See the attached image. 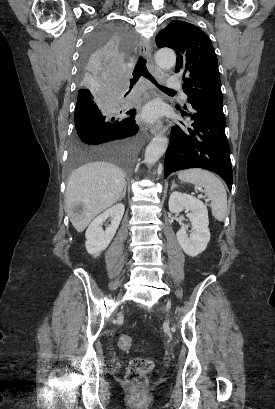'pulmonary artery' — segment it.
<instances>
[{
	"label": "pulmonary artery",
	"mask_w": 275,
	"mask_h": 409,
	"mask_svg": "<svg viewBox=\"0 0 275 409\" xmlns=\"http://www.w3.org/2000/svg\"><path fill=\"white\" fill-rule=\"evenodd\" d=\"M180 74L179 73H174L171 77V79L166 80V87L167 88H179L180 87ZM184 99H187V95H183Z\"/></svg>",
	"instance_id": "e3ab8cb5"
}]
</instances>
